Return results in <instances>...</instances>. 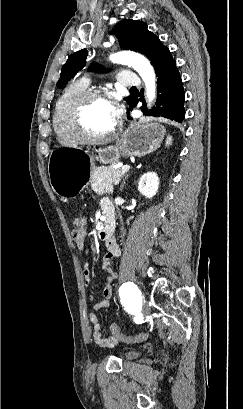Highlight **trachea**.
<instances>
[{
  "instance_id": "3493384b",
  "label": "trachea",
  "mask_w": 243,
  "mask_h": 409,
  "mask_svg": "<svg viewBox=\"0 0 243 409\" xmlns=\"http://www.w3.org/2000/svg\"><path fill=\"white\" fill-rule=\"evenodd\" d=\"M131 89H136L135 87H132Z\"/></svg>"
}]
</instances>
